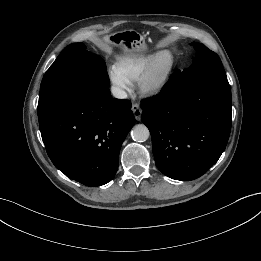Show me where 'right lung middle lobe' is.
Here are the masks:
<instances>
[{
	"label": "right lung middle lobe",
	"mask_w": 261,
	"mask_h": 261,
	"mask_svg": "<svg viewBox=\"0 0 261 261\" xmlns=\"http://www.w3.org/2000/svg\"><path fill=\"white\" fill-rule=\"evenodd\" d=\"M108 87L109 77L103 59L87 51L83 43L70 44L42 79L38 115L75 91Z\"/></svg>",
	"instance_id": "right-lung-middle-lobe-1"
}]
</instances>
